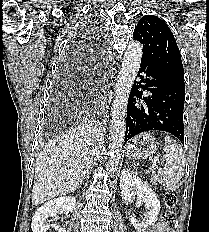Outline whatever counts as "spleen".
<instances>
[{
	"label": "spleen",
	"mask_w": 209,
	"mask_h": 232,
	"mask_svg": "<svg viewBox=\"0 0 209 232\" xmlns=\"http://www.w3.org/2000/svg\"><path fill=\"white\" fill-rule=\"evenodd\" d=\"M164 152L167 156L165 167L158 171L160 183L167 188L174 189L183 176L185 155L183 149L172 137L165 136Z\"/></svg>",
	"instance_id": "obj_1"
}]
</instances>
